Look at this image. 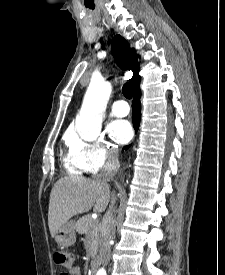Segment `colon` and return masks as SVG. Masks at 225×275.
<instances>
[{
  "instance_id": "colon-1",
  "label": "colon",
  "mask_w": 225,
  "mask_h": 275,
  "mask_svg": "<svg viewBox=\"0 0 225 275\" xmlns=\"http://www.w3.org/2000/svg\"><path fill=\"white\" fill-rule=\"evenodd\" d=\"M74 259H75L74 254L68 251L60 250L54 253L55 264L67 269L73 266ZM60 275H67V274L66 272H62Z\"/></svg>"
}]
</instances>
